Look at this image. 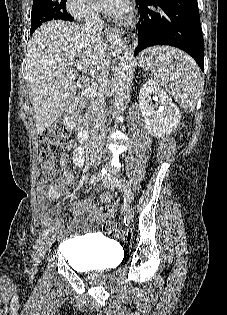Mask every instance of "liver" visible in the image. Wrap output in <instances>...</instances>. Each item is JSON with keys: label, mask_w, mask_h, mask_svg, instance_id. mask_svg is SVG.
Segmentation results:
<instances>
[{"label": "liver", "mask_w": 227, "mask_h": 315, "mask_svg": "<svg viewBox=\"0 0 227 315\" xmlns=\"http://www.w3.org/2000/svg\"><path fill=\"white\" fill-rule=\"evenodd\" d=\"M29 98L36 131L42 134L72 105L78 63L96 78L110 66L111 48L75 23L50 21L32 35L27 48Z\"/></svg>", "instance_id": "6515ba94"}]
</instances>
